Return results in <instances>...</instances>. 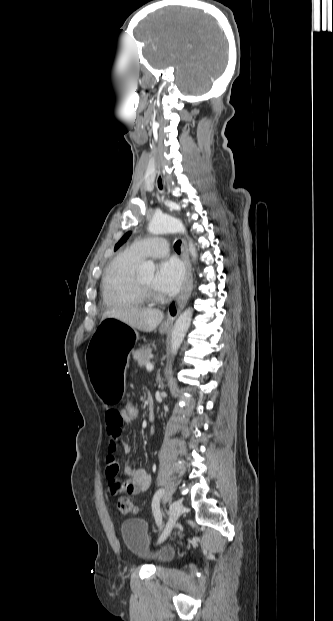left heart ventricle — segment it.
Returning a JSON list of instances; mask_svg holds the SVG:
<instances>
[{"instance_id": "left-heart-ventricle-1", "label": "left heart ventricle", "mask_w": 333, "mask_h": 621, "mask_svg": "<svg viewBox=\"0 0 333 621\" xmlns=\"http://www.w3.org/2000/svg\"><path fill=\"white\" fill-rule=\"evenodd\" d=\"M139 281L144 284L145 286L149 287L150 289H152L153 291L159 293L160 291L154 286V274L148 273L145 275H140L138 276Z\"/></svg>"}]
</instances>
